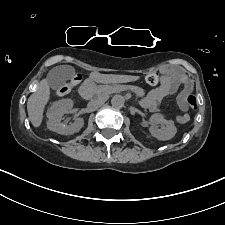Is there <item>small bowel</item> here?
<instances>
[{
	"label": "small bowel",
	"instance_id": "obj_1",
	"mask_svg": "<svg viewBox=\"0 0 225 225\" xmlns=\"http://www.w3.org/2000/svg\"><path fill=\"white\" fill-rule=\"evenodd\" d=\"M164 73L168 76L167 81L150 91L142 104L152 112L159 111L162 99L174 94L182 86L178 95V105L183 113L177 116V121L181 124L186 123L189 120V115L186 113L187 99L193 90V82L185 72L176 67H168Z\"/></svg>",
	"mask_w": 225,
	"mask_h": 225
}]
</instances>
